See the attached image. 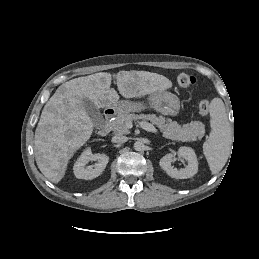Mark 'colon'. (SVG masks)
I'll return each mask as SVG.
<instances>
[{"label": "colon", "mask_w": 259, "mask_h": 259, "mask_svg": "<svg viewBox=\"0 0 259 259\" xmlns=\"http://www.w3.org/2000/svg\"><path fill=\"white\" fill-rule=\"evenodd\" d=\"M177 82L182 88H189L196 84V78L187 73H180L177 77ZM210 103L207 99H202L199 102L198 110L201 115H207L209 112Z\"/></svg>", "instance_id": "5ec220e1"}]
</instances>
